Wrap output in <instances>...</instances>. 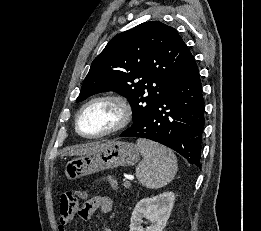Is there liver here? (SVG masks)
<instances>
[{
    "label": "liver",
    "mask_w": 261,
    "mask_h": 231,
    "mask_svg": "<svg viewBox=\"0 0 261 231\" xmlns=\"http://www.w3.org/2000/svg\"><path fill=\"white\" fill-rule=\"evenodd\" d=\"M111 142L112 141H107L105 143L93 142V143H89V144H85V145L76 146L74 148L66 150L65 155H69V156L87 155V154L96 152V151L104 148L105 146L109 145Z\"/></svg>",
    "instance_id": "1"
}]
</instances>
